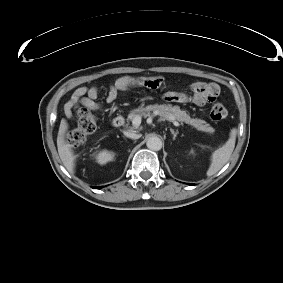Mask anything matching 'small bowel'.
<instances>
[{
    "instance_id": "c3829d8e",
    "label": "small bowel",
    "mask_w": 283,
    "mask_h": 283,
    "mask_svg": "<svg viewBox=\"0 0 283 283\" xmlns=\"http://www.w3.org/2000/svg\"><path fill=\"white\" fill-rule=\"evenodd\" d=\"M138 83V79L132 75H125L118 78L115 82L108 86L106 95V102L111 103L116 100L118 94L135 84ZM151 86L157 87L162 83V78L153 77L146 80ZM192 100L194 104L202 106L207 102H211L215 99L219 92V86L216 83H203L197 82L192 86ZM99 95V89L97 86H81L77 88L70 99L64 105V111L68 118L73 114V111L80 105L88 107L90 109H98L100 103L97 101ZM165 101L168 102H185L187 97L180 93L168 92L163 96Z\"/></svg>"
}]
</instances>
